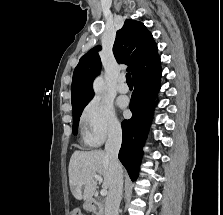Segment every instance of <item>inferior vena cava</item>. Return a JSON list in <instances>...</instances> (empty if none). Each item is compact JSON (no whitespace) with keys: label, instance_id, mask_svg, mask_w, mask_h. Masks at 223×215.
Wrapping results in <instances>:
<instances>
[{"label":"inferior vena cava","instance_id":"obj_1","mask_svg":"<svg viewBox=\"0 0 223 215\" xmlns=\"http://www.w3.org/2000/svg\"><path fill=\"white\" fill-rule=\"evenodd\" d=\"M121 141V127H112L105 143V151L110 159L109 169L112 175L111 185L105 201V215H118L123 185V171L118 159V151L120 149Z\"/></svg>","mask_w":223,"mask_h":215}]
</instances>
